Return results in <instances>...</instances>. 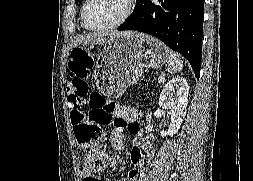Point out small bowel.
<instances>
[{"instance_id": "small-bowel-1", "label": "small bowel", "mask_w": 253, "mask_h": 181, "mask_svg": "<svg viewBox=\"0 0 253 181\" xmlns=\"http://www.w3.org/2000/svg\"><path fill=\"white\" fill-rule=\"evenodd\" d=\"M77 71L71 73V79L68 84V92L73 94L88 93V75L92 68V58L87 53H82ZM136 111L128 107H119L115 114V126L110 134V138L115 146H121V138L126 131L134 135V146L131 151V167L127 175L117 181H134L144 161L146 150L150 154L154 148L149 141H144L139 124L136 122ZM115 162L109 161L107 167H113ZM82 181H98L90 168L84 167L82 170Z\"/></svg>"}]
</instances>
